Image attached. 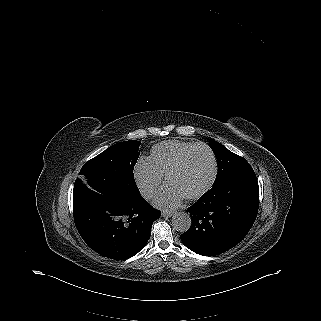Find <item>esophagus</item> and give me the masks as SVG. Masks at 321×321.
Instances as JSON below:
<instances>
[{"instance_id":"esophagus-1","label":"esophagus","mask_w":321,"mask_h":321,"mask_svg":"<svg viewBox=\"0 0 321 321\" xmlns=\"http://www.w3.org/2000/svg\"><path fill=\"white\" fill-rule=\"evenodd\" d=\"M174 214V212H170V211H163L162 212V216L165 218H169Z\"/></svg>"}]
</instances>
